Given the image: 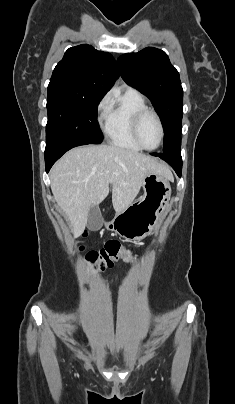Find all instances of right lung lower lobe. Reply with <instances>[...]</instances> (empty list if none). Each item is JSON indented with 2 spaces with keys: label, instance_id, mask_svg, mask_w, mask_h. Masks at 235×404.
<instances>
[{
  "label": "right lung lower lobe",
  "instance_id": "obj_1",
  "mask_svg": "<svg viewBox=\"0 0 235 404\" xmlns=\"http://www.w3.org/2000/svg\"><path fill=\"white\" fill-rule=\"evenodd\" d=\"M88 142L75 137H62L46 142L45 149V167L48 173L52 165L68 150L80 146L87 145Z\"/></svg>",
  "mask_w": 235,
  "mask_h": 404
}]
</instances>
